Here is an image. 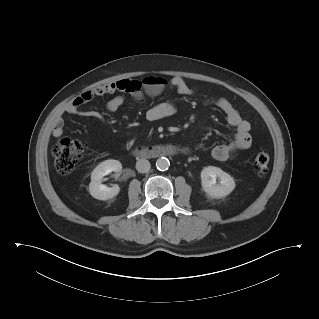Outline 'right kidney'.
<instances>
[{
    "label": "right kidney",
    "mask_w": 319,
    "mask_h": 319,
    "mask_svg": "<svg viewBox=\"0 0 319 319\" xmlns=\"http://www.w3.org/2000/svg\"><path fill=\"white\" fill-rule=\"evenodd\" d=\"M122 164L118 160H105L100 163L91 173V182L89 184V192L91 196L99 200H108L116 196L120 192L118 185L107 187L102 184L103 177L112 171L120 172Z\"/></svg>",
    "instance_id": "right-kidney-1"
}]
</instances>
